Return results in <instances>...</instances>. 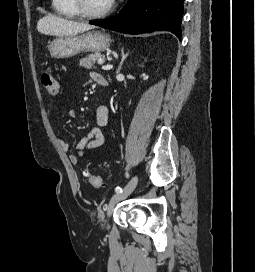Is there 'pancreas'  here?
<instances>
[{
	"instance_id": "obj_1",
	"label": "pancreas",
	"mask_w": 255,
	"mask_h": 272,
	"mask_svg": "<svg viewBox=\"0 0 255 272\" xmlns=\"http://www.w3.org/2000/svg\"><path fill=\"white\" fill-rule=\"evenodd\" d=\"M100 61H104V55L100 53L90 54L87 57L80 59V66L91 69L95 63H100Z\"/></svg>"
}]
</instances>
